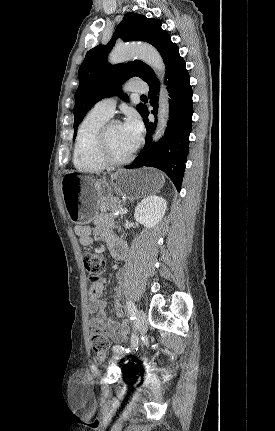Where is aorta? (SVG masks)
<instances>
[{
    "label": "aorta",
    "instance_id": "762f6f07",
    "mask_svg": "<svg viewBox=\"0 0 275 431\" xmlns=\"http://www.w3.org/2000/svg\"><path fill=\"white\" fill-rule=\"evenodd\" d=\"M134 58H139L148 64L159 79L165 74V64L159 52L148 44L119 45L109 55V62L117 64ZM158 123L153 139L158 141L165 132L169 118V96L166 88L161 87L158 108Z\"/></svg>",
    "mask_w": 275,
    "mask_h": 431
}]
</instances>
